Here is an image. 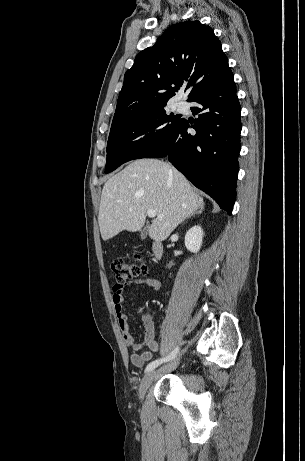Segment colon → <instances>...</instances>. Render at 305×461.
I'll return each instance as SVG.
<instances>
[{"label":"colon","instance_id":"1","mask_svg":"<svg viewBox=\"0 0 305 461\" xmlns=\"http://www.w3.org/2000/svg\"><path fill=\"white\" fill-rule=\"evenodd\" d=\"M138 261L139 257H136L134 262L127 261L123 258L113 259L111 268L116 279L120 282H126L137 278L141 274H145L147 272L146 265Z\"/></svg>","mask_w":305,"mask_h":461}]
</instances>
